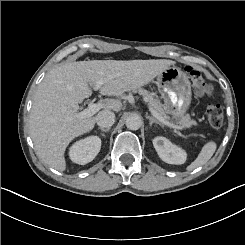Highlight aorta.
I'll return each instance as SVG.
<instances>
[{"label":"aorta","instance_id":"762f6f07","mask_svg":"<svg viewBox=\"0 0 245 245\" xmlns=\"http://www.w3.org/2000/svg\"><path fill=\"white\" fill-rule=\"evenodd\" d=\"M142 125L141 118L138 115H130L126 119V126L130 130H138Z\"/></svg>","mask_w":245,"mask_h":245}]
</instances>
